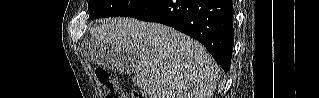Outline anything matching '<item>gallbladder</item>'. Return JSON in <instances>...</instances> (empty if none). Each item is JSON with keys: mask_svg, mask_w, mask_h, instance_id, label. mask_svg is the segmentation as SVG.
<instances>
[{"mask_svg": "<svg viewBox=\"0 0 319 98\" xmlns=\"http://www.w3.org/2000/svg\"><path fill=\"white\" fill-rule=\"evenodd\" d=\"M87 57L95 64L124 74L135 73L138 67L137 58L125 51L116 50L110 45L99 44L93 51L87 52Z\"/></svg>", "mask_w": 319, "mask_h": 98, "instance_id": "bac80fb5", "label": "gallbladder"}]
</instances>
